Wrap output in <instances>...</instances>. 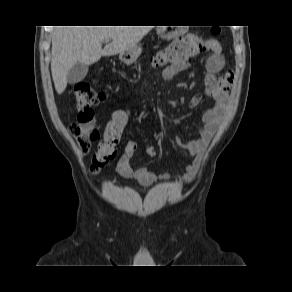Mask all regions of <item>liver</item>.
I'll return each instance as SVG.
<instances>
[{
  "mask_svg": "<svg viewBox=\"0 0 292 292\" xmlns=\"http://www.w3.org/2000/svg\"><path fill=\"white\" fill-rule=\"evenodd\" d=\"M150 26H57L52 34L51 72L58 94L67 86V74L76 64L91 65L102 56L121 54L137 45ZM112 42L102 49V43Z\"/></svg>",
  "mask_w": 292,
  "mask_h": 292,
  "instance_id": "obj_1",
  "label": "liver"
}]
</instances>
